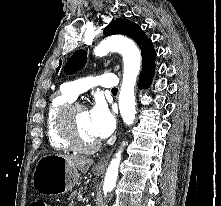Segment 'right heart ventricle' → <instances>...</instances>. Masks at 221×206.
I'll return each instance as SVG.
<instances>
[{
	"label": "right heart ventricle",
	"instance_id": "1",
	"mask_svg": "<svg viewBox=\"0 0 221 206\" xmlns=\"http://www.w3.org/2000/svg\"><path fill=\"white\" fill-rule=\"evenodd\" d=\"M73 101L74 99L68 93L61 90L52 97L48 107L46 116V134L50 145L57 150H73L59 128V114L61 109Z\"/></svg>",
	"mask_w": 221,
	"mask_h": 206
}]
</instances>
